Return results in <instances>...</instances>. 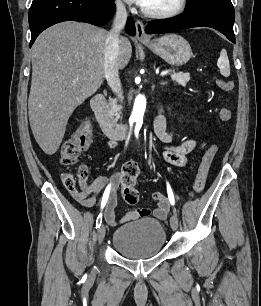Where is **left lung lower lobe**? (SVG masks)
Wrapping results in <instances>:
<instances>
[{
  "mask_svg": "<svg viewBox=\"0 0 261 306\" xmlns=\"http://www.w3.org/2000/svg\"><path fill=\"white\" fill-rule=\"evenodd\" d=\"M235 12L232 3L206 6L186 10L183 14L164 20L151 21L145 28L149 34L168 33L192 27H211L224 34L235 43L233 24Z\"/></svg>",
  "mask_w": 261,
  "mask_h": 306,
  "instance_id": "obj_1",
  "label": "left lung lower lobe"
}]
</instances>
